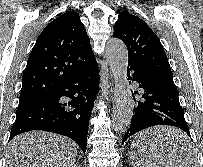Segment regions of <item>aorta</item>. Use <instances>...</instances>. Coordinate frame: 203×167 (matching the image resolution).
<instances>
[{
  "label": "aorta",
  "mask_w": 203,
  "mask_h": 167,
  "mask_svg": "<svg viewBox=\"0 0 203 167\" xmlns=\"http://www.w3.org/2000/svg\"><path fill=\"white\" fill-rule=\"evenodd\" d=\"M106 58L115 80L112 126L116 132L123 133L131 123L134 110L127 79L128 51L123 41L110 39L106 45Z\"/></svg>",
  "instance_id": "obj_1"
}]
</instances>
